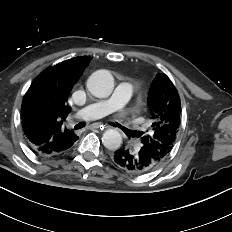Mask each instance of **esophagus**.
I'll use <instances>...</instances> for the list:
<instances>
[{
    "instance_id": "obj_1",
    "label": "esophagus",
    "mask_w": 232,
    "mask_h": 232,
    "mask_svg": "<svg viewBox=\"0 0 232 232\" xmlns=\"http://www.w3.org/2000/svg\"><path fill=\"white\" fill-rule=\"evenodd\" d=\"M92 128L104 130V129H107L108 126H106V125H99V124H93Z\"/></svg>"
}]
</instances>
